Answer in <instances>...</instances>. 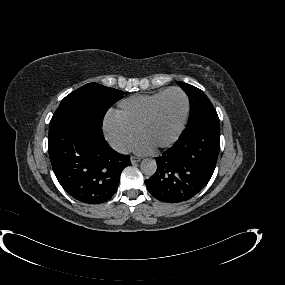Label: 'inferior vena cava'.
<instances>
[{
    "instance_id": "602c4592",
    "label": "inferior vena cava",
    "mask_w": 285,
    "mask_h": 285,
    "mask_svg": "<svg viewBox=\"0 0 285 285\" xmlns=\"http://www.w3.org/2000/svg\"><path fill=\"white\" fill-rule=\"evenodd\" d=\"M110 146L119 153L127 154L131 151V146L122 140H113L110 142Z\"/></svg>"
}]
</instances>
